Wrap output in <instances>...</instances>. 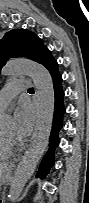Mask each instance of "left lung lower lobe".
I'll list each match as a JSON object with an SVG mask.
<instances>
[{"label":"left lung lower lobe","mask_w":89,"mask_h":203,"mask_svg":"<svg viewBox=\"0 0 89 203\" xmlns=\"http://www.w3.org/2000/svg\"><path fill=\"white\" fill-rule=\"evenodd\" d=\"M40 64L44 65L50 72L53 79V86L55 92V108L53 126L49 139V150L45 154L40 164L36 177L45 178L49 173L51 167H53L54 151L59 145V131L63 126V115L65 113V107L63 104L64 92L62 89V77L58 71V63L52 56L51 51L46 47L39 60Z\"/></svg>","instance_id":"obj_1"}]
</instances>
